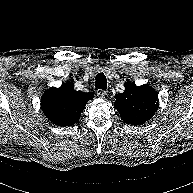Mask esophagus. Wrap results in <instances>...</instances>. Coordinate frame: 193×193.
<instances>
[{
  "mask_svg": "<svg viewBox=\"0 0 193 193\" xmlns=\"http://www.w3.org/2000/svg\"><path fill=\"white\" fill-rule=\"evenodd\" d=\"M96 94H97L98 97L104 98L107 95V91L102 90V89H98Z\"/></svg>",
  "mask_w": 193,
  "mask_h": 193,
  "instance_id": "1",
  "label": "esophagus"
}]
</instances>
